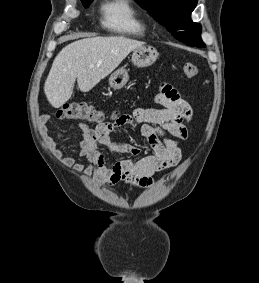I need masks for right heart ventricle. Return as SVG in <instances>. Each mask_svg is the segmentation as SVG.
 Returning <instances> with one entry per match:
<instances>
[{"instance_id":"e07e8e85","label":"right heart ventricle","mask_w":259,"mask_h":283,"mask_svg":"<svg viewBox=\"0 0 259 283\" xmlns=\"http://www.w3.org/2000/svg\"><path fill=\"white\" fill-rule=\"evenodd\" d=\"M104 24L110 30L131 36H144L147 23L130 0H109L103 7Z\"/></svg>"}]
</instances>
